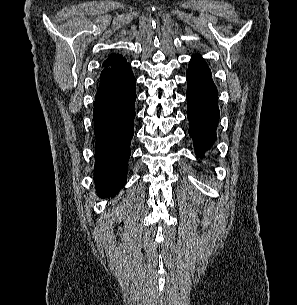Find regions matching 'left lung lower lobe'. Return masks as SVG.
Listing matches in <instances>:
<instances>
[{"label": "left lung lower lobe", "mask_w": 297, "mask_h": 305, "mask_svg": "<svg viewBox=\"0 0 297 305\" xmlns=\"http://www.w3.org/2000/svg\"><path fill=\"white\" fill-rule=\"evenodd\" d=\"M186 73L189 134L194 141L196 155L203 157L216 139L218 91L207 64H190Z\"/></svg>", "instance_id": "1"}]
</instances>
